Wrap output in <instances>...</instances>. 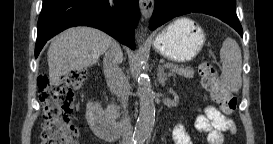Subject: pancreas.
<instances>
[{"mask_svg":"<svg viewBox=\"0 0 273 144\" xmlns=\"http://www.w3.org/2000/svg\"><path fill=\"white\" fill-rule=\"evenodd\" d=\"M172 72L176 73L178 75H181L185 78H193L194 77V69L189 68V67L175 66L172 68ZM106 111L112 117H116L118 115L117 107L114 104L109 105Z\"/></svg>","mask_w":273,"mask_h":144,"instance_id":"obj_1","label":"pancreas"}]
</instances>
